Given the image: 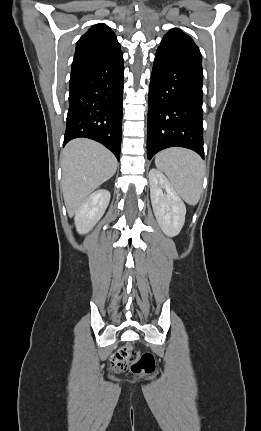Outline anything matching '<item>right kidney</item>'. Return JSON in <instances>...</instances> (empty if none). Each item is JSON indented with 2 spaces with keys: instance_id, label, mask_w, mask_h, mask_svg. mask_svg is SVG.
<instances>
[{
  "instance_id": "ca27d5eb",
  "label": "right kidney",
  "mask_w": 261,
  "mask_h": 431,
  "mask_svg": "<svg viewBox=\"0 0 261 431\" xmlns=\"http://www.w3.org/2000/svg\"><path fill=\"white\" fill-rule=\"evenodd\" d=\"M111 194L106 189L92 193L75 213V226L79 234L88 233L101 219L108 207Z\"/></svg>"
}]
</instances>
